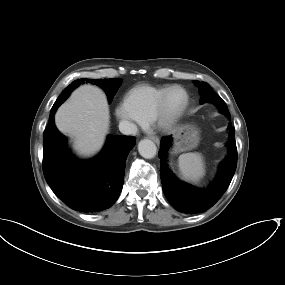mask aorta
I'll list each match as a JSON object with an SVG mask.
<instances>
[{
	"instance_id": "aorta-1",
	"label": "aorta",
	"mask_w": 285,
	"mask_h": 285,
	"mask_svg": "<svg viewBox=\"0 0 285 285\" xmlns=\"http://www.w3.org/2000/svg\"><path fill=\"white\" fill-rule=\"evenodd\" d=\"M138 152L142 157L152 159L156 156L157 147L153 141L143 139L138 144Z\"/></svg>"
}]
</instances>
